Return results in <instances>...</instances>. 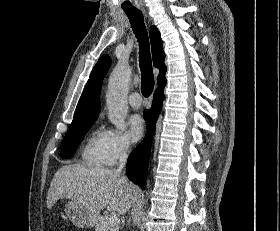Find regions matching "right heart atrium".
I'll list each match as a JSON object with an SVG mask.
<instances>
[{"label": "right heart atrium", "mask_w": 280, "mask_h": 231, "mask_svg": "<svg viewBox=\"0 0 280 231\" xmlns=\"http://www.w3.org/2000/svg\"><path fill=\"white\" fill-rule=\"evenodd\" d=\"M102 146L106 163L113 164L130 149L131 144L125 136L114 130H108L103 133Z\"/></svg>", "instance_id": "1"}]
</instances>
